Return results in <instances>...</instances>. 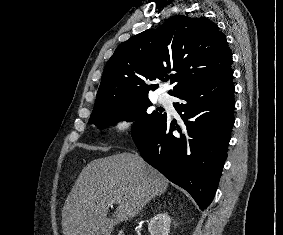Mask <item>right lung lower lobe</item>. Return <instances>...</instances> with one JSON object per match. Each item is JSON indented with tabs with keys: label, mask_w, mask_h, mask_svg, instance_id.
<instances>
[{
	"label": "right lung lower lobe",
	"mask_w": 283,
	"mask_h": 235,
	"mask_svg": "<svg viewBox=\"0 0 283 235\" xmlns=\"http://www.w3.org/2000/svg\"><path fill=\"white\" fill-rule=\"evenodd\" d=\"M234 91L232 72L186 88L174 95L184 101L173 104L182 125L166 115L133 138L142 158L184 188L201 210L212 202L227 158L235 121Z\"/></svg>",
	"instance_id": "98d812e1"
}]
</instances>
